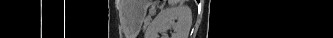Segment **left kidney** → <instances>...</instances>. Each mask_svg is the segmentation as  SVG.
<instances>
[{
	"label": "left kidney",
	"instance_id": "5707ae66",
	"mask_svg": "<svg viewBox=\"0 0 333 38\" xmlns=\"http://www.w3.org/2000/svg\"><path fill=\"white\" fill-rule=\"evenodd\" d=\"M191 25V9L187 5L179 4L161 10L152 21L148 31L152 38L159 37V33L164 38H168L166 35L168 30L173 31L171 38H188Z\"/></svg>",
	"mask_w": 333,
	"mask_h": 38
}]
</instances>
